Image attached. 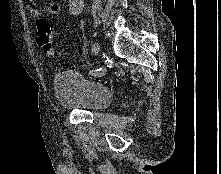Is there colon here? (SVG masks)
<instances>
[{"mask_svg": "<svg viewBox=\"0 0 221 174\" xmlns=\"http://www.w3.org/2000/svg\"><path fill=\"white\" fill-rule=\"evenodd\" d=\"M36 27V41L38 46L48 57L55 56L57 52L53 42L52 26L47 20L38 19L36 22Z\"/></svg>", "mask_w": 221, "mask_h": 174, "instance_id": "colon-1", "label": "colon"}]
</instances>
